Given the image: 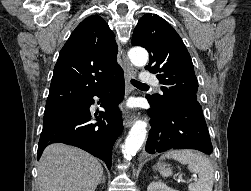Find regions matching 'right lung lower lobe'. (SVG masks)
<instances>
[{
  "label": "right lung lower lobe",
  "mask_w": 251,
  "mask_h": 191,
  "mask_svg": "<svg viewBox=\"0 0 251 191\" xmlns=\"http://www.w3.org/2000/svg\"><path fill=\"white\" fill-rule=\"evenodd\" d=\"M124 91L122 75L84 98L76 106L44 116L37 151L38 159L46 146L60 142L91 153L103 160L110 169L112 147L123 130L118 104L123 99ZM94 96L103 100L102 107L105 112L96 117L97 123H90L92 115L89 108L94 103Z\"/></svg>",
  "instance_id": "1"
}]
</instances>
